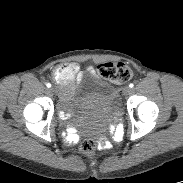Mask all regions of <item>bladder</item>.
<instances>
[{
	"instance_id": "1",
	"label": "bladder",
	"mask_w": 183,
	"mask_h": 183,
	"mask_svg": "<svg viewBox=\"0 0 183 183\" xmlns=\"http://www.w3.org/2000/svg\"><path fill=\"white\" fill-rule=\"evenodd\" d=\"M65 101L80 119L108 117L119 110L117 90L102 80H97L90 88L71 94Z\"/></svg>"
}]
</instances>
